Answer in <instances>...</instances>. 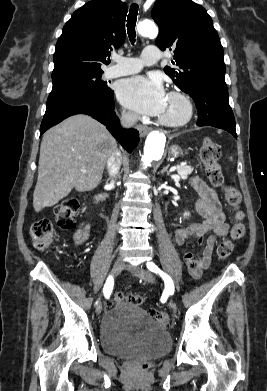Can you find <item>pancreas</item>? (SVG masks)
Masks as SVG:
<instances>
[{
	"mask_svg": "<svg viewBox=\"0 0 267 391\" xmlns=\"http://www.w3.org/2000/svg\"><path fill=\"white\" fill-rule=\"evenodd\" d=\"M192 172H193V167H191V166H178L177 167V173L181 179H187L188 175L191 174Z\"/></svg>",
	"mask_w": 267,
	"mask_h": 391,
	"instance_id": "cf45deb5",
	"label": "pancreas"
}]
</instances>
